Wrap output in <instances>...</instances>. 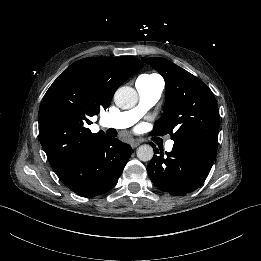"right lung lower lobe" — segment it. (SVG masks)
<instances>
[{
	"instance_id": "1",
	"label": "right lung lower lobe",
	"mask_w": 261,
	"mask_h": 261,
	"mask_svg": "<svg viewBox=\"0 0 261 261\" xmlns=\"http://www.w3.org/2000/svg\"><path fill=\"white\" fill-rule=\"evenodd\" d=\"M132 154V148L104 137L87 153L57 172L70 190L82 197H93L111 190Z\"/></svg>"
}]
</instances>
